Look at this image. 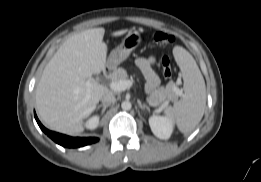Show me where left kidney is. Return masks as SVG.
<instances>
[{
    "instance_id": "1",
    "label": "left kidney",
    "mask_w": 261,
    "mask_h": 182,
    "mask_svg": "<svg viewBox=\"0 0 261 182\" xmlns=\"http://www.w3.org/2000/svg\"><path fill=\"white\" fill-rule=\"evenodd\" d=\"M149 125L153 134L160 139H169L173 132L171 119L153 115L149 118Z\"/></svg>"
}]
</instances>
